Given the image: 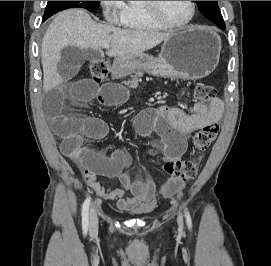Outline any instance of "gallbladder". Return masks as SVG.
I'll return each mask as SVG.
<instances>
[{
  "label": "gallbladder",
  "instance_id": "obj_1",
  "mask_svg": "<svg viewBox=\"0 0 271 266\" xmlns=\"http://www.w3.org/2000/svg\"><path fill=\"white\" fill-rule=\"evenodd\" d=\"M101 55L91 49L80 50L76 46H67L61 51V59L57 65L59 74L65 79H71L79 72L86 60H94Z\"/></svg>",
  "mask_w": 271,
  "mask_h": 266
}]
</instances>
